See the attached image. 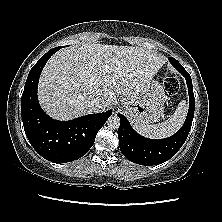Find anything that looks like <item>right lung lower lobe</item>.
<instances>
[{
    "label": "right lung lower lobe",
    "mask_w": 222,
    "mask_h": 222,
    "mask_svg": "<svg viewBox=\"0 0 222 222\" xmlns=\"http://www.w3.org/2000/svg\"><path fill=\"white\" fill-rule=\"evenodd\" d=\"M59 49L49 50L30 70L22 94L21 116L33 148L51 162L64 163L79 159L89 151L112 110L71 121H57L41 109L37 98L38 80L48 59Z\"/></svg>",
    "instance_id": "98d812e1"
}]
</instances>
